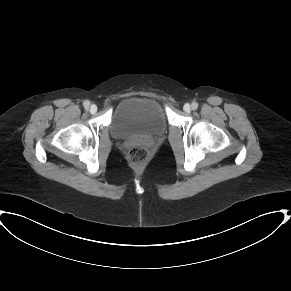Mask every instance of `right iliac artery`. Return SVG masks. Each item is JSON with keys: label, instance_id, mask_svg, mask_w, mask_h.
Here are the masks:
<instances>
[{"label": "right iliac artery", "instance_id": "right-iliac-artery-1", "mask_svg": "<svg viewBox=\"0 0 291 291\" xmlns=\"http://www.w3.org/2000/svg\"><path fill=\"white\" fill-rule=\"evenodd\" d=\"M83 105H84V107L86 109H88V107L90 106V102L89 101H84Z\"/></svg>", "mask_w": 291, "mask_h": 291}]
</instances>
